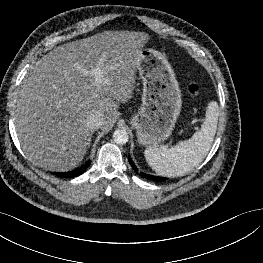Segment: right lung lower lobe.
<instances>
[{
	"label": "right lung lower lobe",
	"instance_id": "right-lung-lower-lobe-1",
	"mask_svg": "<svg viewBox=\"0 0 263 263\" xmlns=\"http://www.w3.org/2000/svg\"><path fill=\"white\" fill-rule=\"evenodd\" d=\"M90 163H91V161H88L85 165H83L79 169H76V170L71 171V172H54V174L57 176L67 177V178L76 177V176L81 175L87 169V167L90 165Z\"/></svg>",
	"mask_w": 263,
	"mask_h": 263
}]
</instances>
